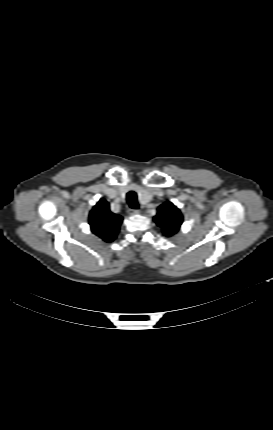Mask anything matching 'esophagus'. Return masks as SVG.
I'll return each instance as SVG.
<instances>
[{
	"instance_id": "esophagus-1",
	"label": "esophagus",
	"mask_w": 273,
	"mask_h": 430,
	"mask_svg": "<svg viewBox=\"0 0 273 430\" xmlns=\"http://www.w3.org/2000/svg\"><path fill=\"white\" fill-rule=\"evenodd\" d=\"M128 213L130 215H137V214H140V210H138V209H129Z\"/></svg>"
}]
</instances>
